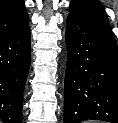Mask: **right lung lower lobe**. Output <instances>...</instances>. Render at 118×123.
Masks as SVG:
<instances>
[{
	"label": "right lung lower lobe",
	"mask_w": 118,
	"mask_h": 123,
	"mask_svg": "<svg viewBox=\"0 0 118 123\" xmlns=\"http://www.w3.org/2000/svg\"><path fill=\"white\" fill-rule=\"evenodd\" d=\"M29 27L0 37V119L22 122L23 89L30 66Z\"/></svg>",
	"instance_id": "98d812e1"
}]
</instances>
